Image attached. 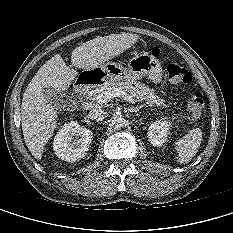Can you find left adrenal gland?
<instances>
[{
	"label": "left adrenal gland",
	"instance_id": "a2214340",
	"mask_svg": "<svg viewBox=\"0 0 233 233\" xmlns=\"http://www.w3.org/2000/svg\"><path fill=\"white\" fill-rule=\"evenodd\" d=\"M143 105L137 106V107H131L129 111L137 113L141 108H143Z\"/></svg>",
	"mask_w": 233,
	"mask_h": 233
}]
</instances>
